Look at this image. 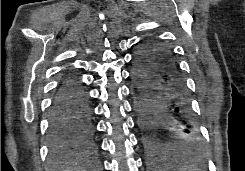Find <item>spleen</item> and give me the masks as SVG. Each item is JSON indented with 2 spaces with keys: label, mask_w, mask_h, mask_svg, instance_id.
<instances>
[{
  "label": "spleen",
  "mask_w": 245,
  "mask_h": 171,
  "mask_svg": "<svg viewBox=\"0 0 245 171\" xmlns=\"http://www.w3.org/2000/svg\"><path fill=\"white\" fill-rule=\"evenodd\" d=\"M179 171H202V170L195 165L188 164L182 167Z\"/></svg>",
  "instance_id": "1"
}]
</instances>
